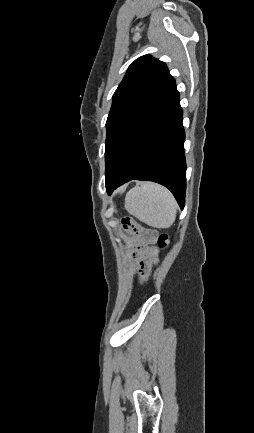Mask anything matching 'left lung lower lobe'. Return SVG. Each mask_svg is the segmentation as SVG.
<instances>
[{
	"label": "left lung lower lobe",
	"instance_id": "obj_1",
	"mask_svg": "<svg viewBox=\"0 0 254 433\" xmlns=\"http://www.w3.org/2000/svg\"><path fill=\"white\" fill-rule=\"evenodd\" d=\"M184 139L182 109L174 85L141 126L118 168L106 180L108 194L133 179L154 181L167 187L183 209L186 191Z\"/></svg>",
	"mask_w": 254,
	"mask_h": 433
}]
</instances>
